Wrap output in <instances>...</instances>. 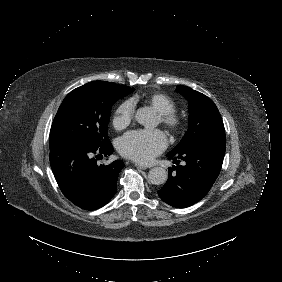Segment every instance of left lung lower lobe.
Listing matches in <instances>:
<instances>
[{"mask_svg": "<svg viewBox=\"0 0 282 282\" xmlns=\"http://www.w3.org/2000/svg\"><path fill=\"white\" fill-rule=\"evenodd\" d=\"M226 136L198 139L179 152L167 154L177 166L169 168V177L158 191L159 197L176 208H186L200 201L211 189L223 163ZM182 159L183 165H178ZM178 162V163H177ZM176 170V174H172Z\"/></svg>", "mask_w": 282, "mask_h": 282, "instance_id": "left-lung-lower-lobe-1", "label": "left lung lower lobe"}]
</instances>
